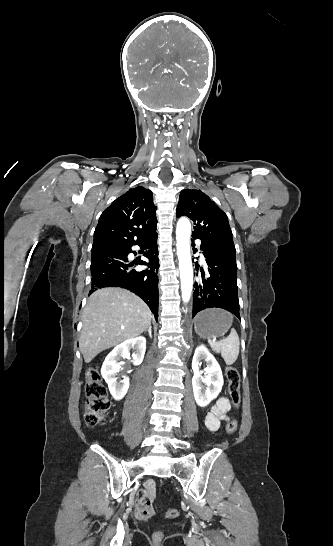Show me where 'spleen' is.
<instances>
[{
  "mask_svg": "<svg viewBox=\"0 0 333 546\" xmlns=\"http://www.w3.org/2000/svg\"><path fill=\"white\" fill-rule=\"evenodd\" d=\"M228 314L233 318L230 313ZM208 342L215 352L221 353L226 365L230 366L236 362L239 355L240 341L235 329H231L229 336L220 341L209 339Z\"/></svg>",
  "mask_w": 333,
  "mask_h": 546,
  "instance_id": "3e777b00",
  "label": "spleen"
}]
</instances>
